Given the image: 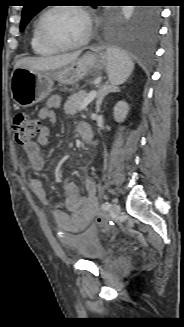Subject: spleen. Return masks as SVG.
Wrapping results in <instances>:
<instances>
[{
	"label": "spleen",
	"instance_id": "1",
	"mask_svg": "<svg viewBox=\"0 0 184 327\" xmlns=\"http://www.w3.org/2000/svg\"><path fill=\"white\" fill-rule=\"evenodd\" d=\"M106 59L108 62L107 71L110 83L112 85L124 83L134 69V64L129 56L123 51L111 47L107 49Z\"/></svg>",
	"mask_w": 184,
	"mask_h": 327
}]
</instances>
